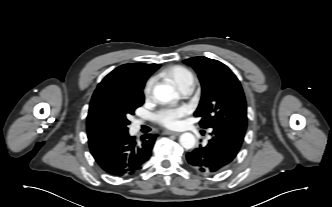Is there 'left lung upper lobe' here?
<instances>
[{"label":"left lung upper lobe","instance_id":"1","mask_svg":"<svg viewBox=\"0 0 332 207\" xmlns=\"http://www.w3.org/2000/svg\"><path fill=\"white\" fill-rule=\"evenodd\" d=\"M198 73L202 97L194 115L202 128H233L245 131L247 112L241 84L223 63L206 57L184 60Z\"/></svg>","mask_w":332,"mask_h":207}]
</instances>
